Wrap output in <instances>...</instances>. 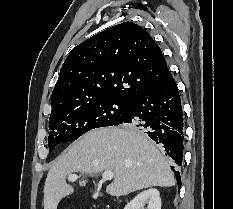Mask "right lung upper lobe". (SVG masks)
Wrapping results in <instances>:
<instances>
[{"mask_svg":"<svg viewBox=\"0 0 233 209\" xmlns=\"http://www.w3.org/2000/svg\"><path fill=\"white\" fill-rule=\"evenodd\" d=\"M171 75L160 47L132 22L110 27L77 45L63 63L51 95L52 113L102 99L131 101Z\"/></svg>","mask_w":233,"mask_h":209,"instance_id":"1","label":"right lung upper lobe"}]
</instances>
